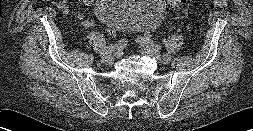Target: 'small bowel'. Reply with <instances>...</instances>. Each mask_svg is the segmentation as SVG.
Returning a JSON list of instances; mask_svg holds the SVG:
<instances>
[{
  "instance_id": "obj_1",
  "label": "small bowel",
  "mask_w": 253,
  "mask_h": 131,
  "mask_svg": "<svg viewBox=\"0 0 253 131\" xmlns=\"http://www.w3.org/2000/svg\"><path fill=\"white\" fill-rule=\"evenodd\" d=\"M82 2L87 8H90L93 5L94 0H82ZM54 5L64 14H69L70 9L68 5V0H57ZM75 18L81 25L85 27H90L93 24L92 21L90 19H87L83 13H77Z\"/></svg>"
}]
</instances>
